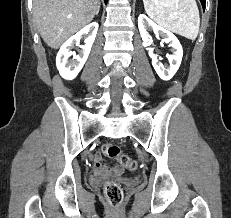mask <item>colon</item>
<instances>
[{
  "label": "colon",
  "instance_id": "1",
  "mask_svg": "<svg viewBox=\"0 0 231 218\" xmlns=\"http://www.w3.org/2000/svg\"><path fill=\"white\" fill-rule=\"evenodd\" d=\"M102 151L106 156L116 160L126 169L135 170L137 167L136 162L125 155L121 148L116 144L106 143L102 146ZM104 194L112 206L117 207L120 205L123 198V191L117 183L112 181L106 182L104 186Z\"/></svg>",
  "mask_w": 231,
  "mask_h": 218
}]
</instances>
